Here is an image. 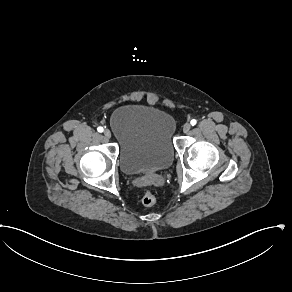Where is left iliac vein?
Segmentation results:
<instances>
[{"mask_svg":"<svg viewBox=\"0 0 292 292\" xmlns=\"http://www.w3.org/2000/svg\"><path fill=\"white\" fill-rule=\"evenodd\" d=\"M190 129H191V125L189 123H185L183 125V132L184 133H188L190 131Z\"/></svg>","mask_w":292,"mask_h":292,"instance_id":"1","label":"left iliac vein"}]
</instances>
